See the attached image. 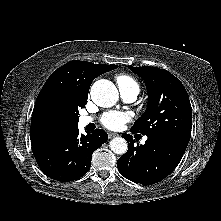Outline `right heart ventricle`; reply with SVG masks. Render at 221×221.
I'll return each instance as SVG.
<instances>
[{
    "mask_svg": "<svg viewBox=\"0 0 221 221\" xmlns=\"http://www.w3.org/2000/svg\"><path fill=\"white\" fill-rule=\"evenodd\" d=\"M117 84H121L124 86L134 87L139 90L138 83L128 75H119L116 78Z\"/></svg>",
    "mask_w": 221,
    "mask_h": 221,
    "instance_id": "1",
    "label": "right heart ventricle"
}]
</instances>
